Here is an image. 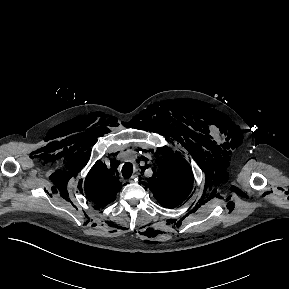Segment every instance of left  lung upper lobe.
Returning <instances> with one entry per match:
<instances>
[{
  "instance_id": "1",
  "label": "left lung upper lobe",
  "mask_w": 289,
  "mask_h": 289,
  "mask_svg": "<svg viewBox=\"0 0 289 289\" xmlns=\"http://www.w3.org/2000/svg\"><path fill=\"white\" fill-rule=\"evenodd\" d=\"M163 159H157L158 171L148 180L157 201L164 207L174 208L189 195L193 186V175L188 163L176 153L162 150Z\"/></svg>"
}]
</instances>
